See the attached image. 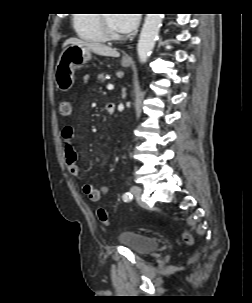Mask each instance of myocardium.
Returning <instances> with one entry per match:
<instances>
[{
  "label": "myocardium",
  "mask_w": 252,
  "mask_h": 303,
  "mask_svg": "<svg viewBox=\"0 0 252 303\" xmlns=\"http://www.w3.org/2000/svg\"><path fill=\"white\" fill-rule=\"evenodd\" d=\"M100 15V24L102 31L104 33V36L106 39L109 40H120L124 37L122 33L115 32L108 23V18L106 14H99Z\"/></svg>",
  "instance_id": "1"
}]
</instances>
